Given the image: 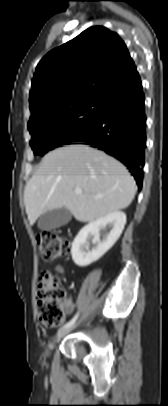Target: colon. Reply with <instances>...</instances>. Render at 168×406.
I'll use <instances>...</instances> for the list:
<instances>
[{
  "label": "colon",
  "instance_id": "5ec220e1",
  "mask_svg": "<svg viewBox=\"0 0 168 406\" xmlns=\"http://www.w3.org/2000/svg\"><path fill=\"white\" fill-rule=\"evenodd\" d=\"M36 239L40 257L44 261L58 259L69 251V242L57 232L43 231L37 234ZM64 297L65 291L61 286V278L48 271L42 272L37 287V310L43 324L56 326L62 322Z\"/></svg>",
  "mask_w": 168,
  "mask_h": 406
}]
</instances>
